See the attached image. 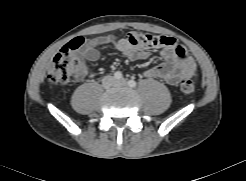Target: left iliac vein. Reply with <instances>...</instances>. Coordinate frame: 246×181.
Masks as SVG:
<instances>
[{
  "instance_id": "1",
  "label": "left iliac vein",
  "mask_w": 246,
  "mask_h": 181,
  "mask_svg": "<svg viewBox=\"0 0 246 181\" xmlns=\"http://www.w3.org/2000/svg\"><path fill=\"white\" fill-rule=\"evenodd\" d=\"M127 85V81L125 79H121L119 81H116L115 86H125Z\"/></svg>"
}]
</instances>
